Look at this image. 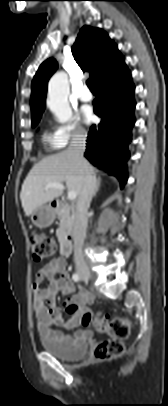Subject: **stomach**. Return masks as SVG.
Returning a JSON list of instances; mask_svg holds the SVG:
<instances>
[{"instance_id":"stomach-1","label":"stomach","mask_w":168,"mask_h":406,"mask_svg":"<svg viewBox=\"0 0 168 406\" xmlns=\"http://www.w3.org/2000/svg\"><path fill=\"white\" fill-rule=\"evenodd\" d=\"M55 215L56 212L50 205H42L32 212L31 221L35 226L44 228L53 223Z\"/></svg>"}]
</instances>
